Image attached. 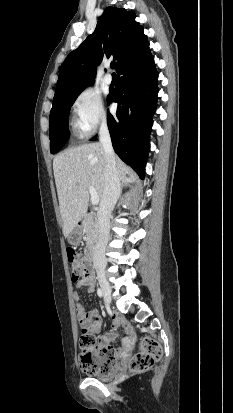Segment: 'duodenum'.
<instances>
[{
    "instance_id": "duodenum-1",
    "label": "duodenum",
    "mask_w": 233,
    "mask_h": 413,
    "mask_svg": "<svg viewBox=\"0 0 233 413\" xmlns=\"http://www.w3.org/2000/svg\"><path fill=\"white\" fill-rule=\"evenodd\" d=\"M77 224H78L79 226H81V225H82V221H79ZM86 257H87V259H88L90 262L93 261V259H94V247H93V246H90V247L87 249Z\"/></svg>"
}]
</instances>
